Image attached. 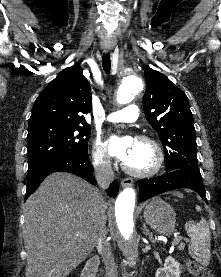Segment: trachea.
<instances>
[{
    "mask_svg": "<svg viewBox=\"0 0 221 277\" xmlns=\"http://www.w3.org/2000/svg\"><path fill=\"white\" fill-rule=\"evenodd\" d=\"M102 67L106 74H109L111 69L110 53L104 54L102 57Z\"/></svg>",
    "mask_w": 221,
    "mask_h": 277,
    "instance_id": "obj_1",
    "label": "trachea"
}]
</instances>
